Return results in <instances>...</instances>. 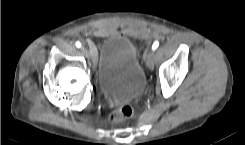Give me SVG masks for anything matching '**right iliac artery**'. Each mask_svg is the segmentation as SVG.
<instances>
[{"label":"right iliac artery","instance_id":"1","mask_svg":"<svg viewBox=\"0 0 245 145\" xmlns=\"http://www.w3.org/2000/svg\"><path fill=\"white\" fill-rule=\"evenodd\" d=\"M76 47L80 48L81 47V43L80 42H76Z\"/></svg>","mask_w":245,"mask_h":145}]
</instances>
